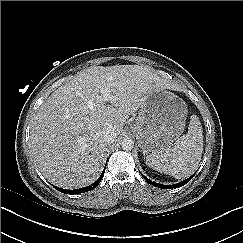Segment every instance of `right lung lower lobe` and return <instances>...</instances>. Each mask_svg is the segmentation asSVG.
<instances>
[{
	"instance_id": "1",
	"label": "right lung lower lobe",
	"mask_w": 243,
	"mask_h": 243,
	"mask_svg": "<svg viewBox=\"0 0 243 243\" xmlns=\"http://www.w3.org/2000/svg\"><path fill=\"white\" fill-rule=\"evenodd\" d=\"M105 169H106V167H105ZM105 169H104V171H105ZM104 171L102 172L101 176L98 178V180L96 182H94L93 184H91L87 187L75 189V190H66V189L57 188V187H55V189H57L58 191H60L62 193H65V194H79V193H84V192L90 191V190L94 189L100 183V181L102 180V178L104 176Z\"/></svg>"
}]
</instances>
